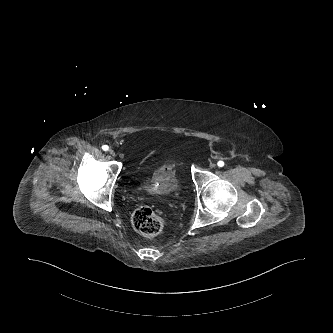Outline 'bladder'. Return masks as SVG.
I'll use <instances>...</instances> for the list:
<instances>
[{"label": "bladder", "mask_w": 333, "mask_h": 333, "mask_svg": "<svg viewBox=\"0 0 333 333\" xmlns=\"http://www.w3.org/2000/svg\"><path fill=\"white\" fill-rule=\"evenodd\" d=\"M141 186L147 190L156 187L157 192L168 194L178 190V180L171 169H156L141 182Z\"/></svg>", "instance_id": "31cf9c89"}]
</instances>
